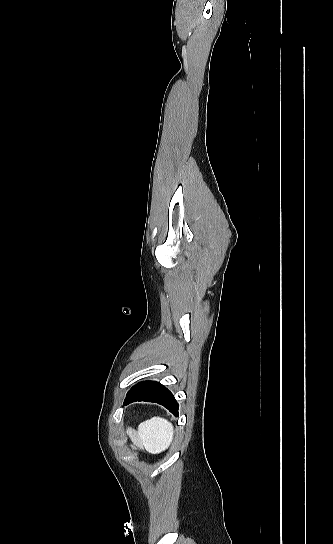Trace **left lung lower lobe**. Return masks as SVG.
<instances>
[{
  "instance_id": "0a47b994",
  "label": "left lung lower lobe",
  "mask_w": 333,
  "mask_h": 544,
  "mask_svg": "<svg viewBox=\"0 0 333 544\" xmlns=\"http://www.w3.org/2000/svg\"><path fill=\"white\" fill-rule=\"evenodd\" d=\"M135 401H148L161 404L172 414L178 416V403L171 392L160 383L144 381L133 386L128 392L124 404L127 405Z\"/></svg>"
}]
</instances>
